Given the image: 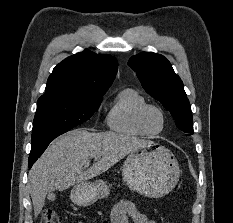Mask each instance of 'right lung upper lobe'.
Masks as SVG:
<instances>
[{
  "label": "right lung upper lobe",
  "mask_w": 233,
  "mask_h": 223,
  "mask_svg": "<svg viewBox=\"0 0 233 223\" xmlns=\"http://www.w3.org/2000/svg\"><path fill=\"white\" fill-rule=\"evenodd\" d=\"M117 67L118 62L113 56L86 49L66 58L53 69L42 96L102 97L111 86Z\"/></svg>",
  "instance_id": "right-lung-upper-lobe-1"
}]
</instances>
